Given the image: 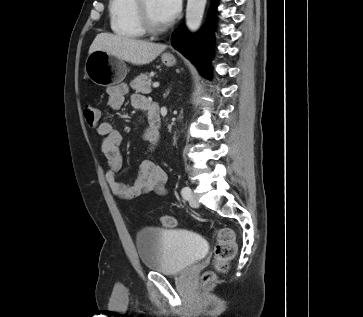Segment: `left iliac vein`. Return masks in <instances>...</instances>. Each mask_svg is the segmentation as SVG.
<instances>
[{"label": "left iliac vein", "mask_w": 363, "mask_h": 317, "mask_svg": "<svg viewBox=\"0 0 363 317\" xmlns=\"http://www.w3.org/2000/svg\"><path fill=\"white\" fill-rule=\"evenodd\" d=\"M189 204L191 207H198L199 206V203H198V200L197 198L193 195V193L191 192L190 194V198H189Z\"/></svg>", "instance_id": "4c4485c4"}]
</instances>
